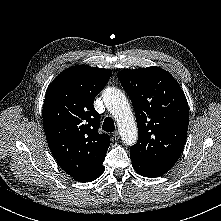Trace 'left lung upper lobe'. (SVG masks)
Here are the masks:
<instances>
[{
	"mask_svg": "<svg viewBox=\"0 0 221 221\" xmlns=\"http://www.w3.org/2000/svg\"><path fill=\"white\" fill-rule=\"evenodd\" d=\"M117 77L132 101L139 130L130 157L173 167L184 148L189 120L188 103L178 82L157 66L122 70Z\"/></svg>",
	"mask_w": 221,
	"mask_h": 221,
	"instance_id": "left-lung-upper-lobe-1",
	"label": "left lung upper lobe"
}]
</instances>
